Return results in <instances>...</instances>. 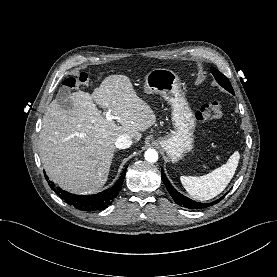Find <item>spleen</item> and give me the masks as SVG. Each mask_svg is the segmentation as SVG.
<instances>
[{
    "mask_svg": "<svg viewBox=\"0 0 277 277\" xmlns=\"http://www.w3.org/2000/svg\"><path fill=\"white\" fill-rule=\"evenodd\" d=\"M239 159L240 154L236 151L230 156L226 164L221 167L200 177L181 176V183L194 199L199 201L212 199L219 195L230 183Z\"/></svg>",
    "mask_w": 277,
    "mask_h": 277,
    "instance_id": "3e777b00",
    "label": "spleen"
}]
</instances>
